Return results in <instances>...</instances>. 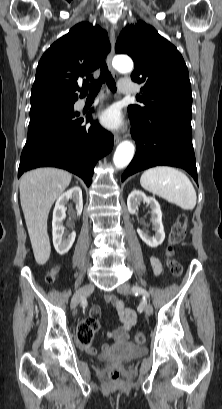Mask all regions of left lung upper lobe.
Wrapping results in <instances>:
<instances>
[{"mask_svg": "<svg viewBox=\"0 0 222 409\" xmlns=\"http://www.w3.org/2000/svg\"><path fill=\"white\" fill-rule=\"evenodd\" d=\"M116 53L128 54L135 63L131 78L143 83L142 106L130 105L128 114L138 118L177 113L191 120L192 95L183 57L150 25L139 21L119 35Z\"/></svg>", "mask_w": 222, "mask_h": 409, "instance_id": "left-lung-upper-lobe-1", "label": "left lung upper lobe"}]
</instances>
